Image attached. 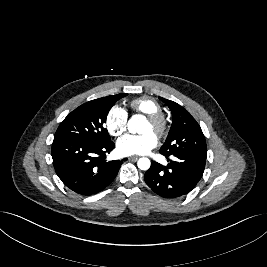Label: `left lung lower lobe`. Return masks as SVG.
Wrapping results in <instances>:
<instances>
[{
  "label": "left lung lower lobe",
  "instance_id": "0a47b994",
  "mask_svg": "<svg viewBox=\"0 0 267 267\" xmlns=\"http://www.w3.org/2000/svg\"><path fill=\"white\" fill-rule=\"evenodd\" d=\"M173 160L166 167L152 162L144 175L146 184L159 196L175 199L188 194L201 179L206 159L186 154L165 155Z\"/></svg>",
  "mask_w": 267,
  "mask_h": 267
}]
</instances>
